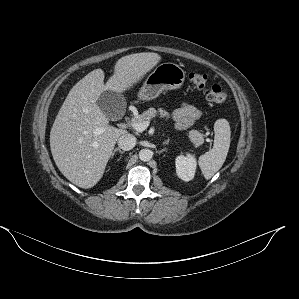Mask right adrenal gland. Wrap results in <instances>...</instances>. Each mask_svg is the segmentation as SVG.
Segmentation results:
<instances>
[{"instance_id": "1", "label": "right adrenal gland", "mask_w": 299, "mask_h": 299, "mask_svg": "<svg viewBox=\"0 0 299 299\" xmlns=\"http://www.w3.org/2000/svg\"><path fill=\"white\" fill-rule=\"evenodd\" d=\"M115 152H119L120 154H124V151H122L120 148H115L114 151H113V153H112V157L111 158H113Z\"/></svg>"}]
</instances>
